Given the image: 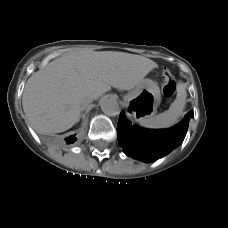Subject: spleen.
<instances>
[{"label": "spleen", "instance_id": "spleen-1", "mask_svg": "<svg viewBox=\"0 0 228 228\" xmlns=\"http://www.w3.org/2000/svg\"><path fill=\"white\" fill-rule=\"evenodd\" d=\"M187 92L183 85H179L177 96L169 109L140 121L141 125L148 128H167L174 125L181 116L186 104Z\"/></svg>", "mask_w": 228, "mask_h": 228}]
</instances>
